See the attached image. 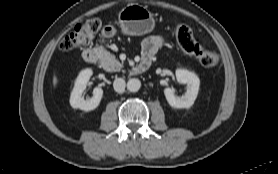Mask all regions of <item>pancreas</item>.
I'll list each match as a JSON object with an SVG mask.
<instances>
[{"mask_svg":"<svg viewBox=\"0 0 278 174\" xmlns=\"http://www.w3.org/2000/svg\"><path fill=\"white\" fill-rule=\"evenodd\" d=\"M100 65L104 70L108 72L120 71L123 68V64L116 59L114 54L110 53L107 50H101Z\"/></svg>","mask_w":278,"mask_h":174,"instance_id":"cf45deb5","label":"pancreas"}]
</instances>
